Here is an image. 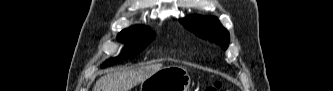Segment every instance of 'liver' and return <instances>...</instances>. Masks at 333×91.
<instances>
[{"label": "liver", "instance_id": "liver-1", "mask_svg": "<svg viewBox=\"0 0 333 91\" xmlns=\"http://www.w3.org/2000/svg\"><path fill=\"white\" fill-rule=\"evenodd\" d=\"M161 68L162 64H147L137 68L117 70L99 78L93 91H130Z\"/></svg>", "mask_w": 333, "mask_h": 91}]
</instances>
